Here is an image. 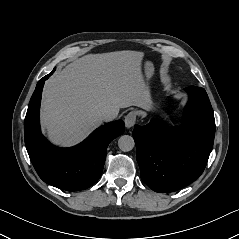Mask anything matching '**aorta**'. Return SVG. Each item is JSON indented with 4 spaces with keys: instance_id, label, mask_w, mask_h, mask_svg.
I'll return each mask as SVG.
<instances>
[{
    "instance_id": "aorta-1",
    "label": "aorta",
    "mask_w": 239,
    "mask_h": 239,
    "mask_svg": "<svg viewBox=\"0 0 239 239\" xmlns=\"http://www.w3.org/2000/svg\"><path fill=\"white\" fill-rule=\"evenodd\" d=\"M135 146V142L132 136L122 135L118 140V147L124 152L131 151Z\"/></svg>"
}]
</instances>
